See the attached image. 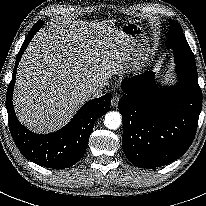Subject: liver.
<instances>
[{"label": "liver", "mask_w": 206, "mask_h": 206, "mask_svg": "<svg viewBox=\"0 0 206 206\" xmlns=\"http://www.w3.org/2000/svg\"><path fill=\"white\" fill-rule=\"evenodd\" d=\"M134 41L107 22L64 20L35 35L18 66L13 104L19 121L39 133L64 126L90 98L137 64Z\"/></svg>", "instance_id": "liver-1"}]
</instances>
